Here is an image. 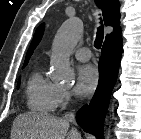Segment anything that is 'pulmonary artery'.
Masks as SVG:
<instances>
[{
    "instance_id": "obj_1",
    "label": "pulmonary artery",
    "mask_w": 141,
    "mask_h": 139,
    "mask_svg": "<svg viewBox=\"0 0 141 139\" xmlns=\"http://www.w3.org/2000/svg\"><path fill=\"white\" fill-rule=\"evenodd\" d=\"M74 56L79 61H88L91 58V51L86 48H79L74 52Z\"/></svg>"
}]
</instances>
